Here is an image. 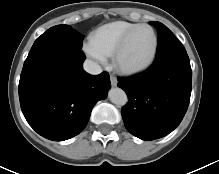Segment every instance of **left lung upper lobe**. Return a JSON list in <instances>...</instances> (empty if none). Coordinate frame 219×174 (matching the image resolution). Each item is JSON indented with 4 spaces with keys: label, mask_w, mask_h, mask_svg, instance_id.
I'll list each match as a JSON object with an SVG mask.
<instances>
[{
    "label": "left lung upper lobe",
    "mask_w": 219,
    "mask_h": 174,
    "mask_svg": "<svg viewBox=\"0 0 219 174\" xmlns=\"http://www.w3.org/2000/svg\"><path fill=\"white\" fill-rule=\"evenodd\" d=\"M149 23L152 24L158 32L156 57L168 52H186L184 46L164 24L156 21Z\"/></svg>",
    "instance_id": "left-lung-upper-lobe-1"
}]
</instances>
